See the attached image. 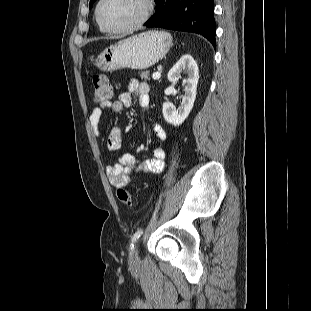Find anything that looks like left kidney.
<instances>
[{
    "label": "left kidney",
    "instance_id": "1",
    "mask_svg": "<svg viewBox=\"0 0 311 311\" xmlns=\"http://www.w3.org/2000/svg\"><path fill=\"white\" fill-rule=\"evenodd\" d=\"M181 73L187 74L185 96L176 109L170 103L164 102L162 113L165 121L174 126L181 125L191 112L196 99L197 84L199 80L198 66L190 54L183 55L168 73V80L176 83L181 78Z\"/></svg>",
    "mask_w": 311,
    "mask_h": 311
}]
</instances>
